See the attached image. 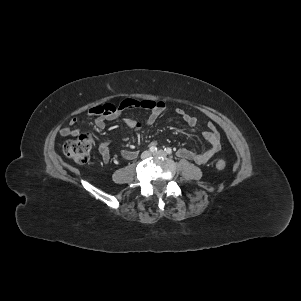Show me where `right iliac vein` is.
<instances>
[{
	"label": "right iliac vein",
	"instance_id": "obj_1",
	"mask_svg": "<svg viewBox=\"0 0 301 301\" xmlns=\"http://www.w3.org/2000/svg\"><path fill=\"white\" fill-rule=\"evenodd\" d=\"M151 155V153L149 151H144L141 155L142 159L148 158Z\"/></svg>",
	"mask_w": 301,
	"mask_h": 301
}]
</instances>
